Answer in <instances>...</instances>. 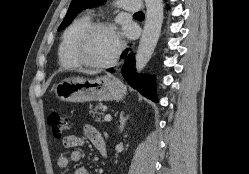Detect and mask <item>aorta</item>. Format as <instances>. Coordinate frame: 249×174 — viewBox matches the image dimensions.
Instances as JSON below:
<instances>
[{"instance_id":"obj_1","label":"aorta","mask_w":249,"mask_h":174,"mask_svg":"<svg viewBox=\"0 0 249 174\" xmlns=\"http://www.w3.org/2000/svg\"><path fill=\"white\" fill-rule=\"evenodd\" d=\"M146 19L135 57L137 72H141L154 52L163 23V0H145Z\"/></svg>"}]
</instances>
